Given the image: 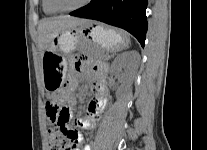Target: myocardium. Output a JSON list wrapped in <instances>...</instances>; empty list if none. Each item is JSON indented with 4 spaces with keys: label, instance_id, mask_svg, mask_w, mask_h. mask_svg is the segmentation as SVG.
<instances>
[{
    "label": "myocardium",
    "instance_id": "1",
    "mask_svg": "<svg viewBox=\"0 0 207 150\" xmlns=\"http://www.w3.org/2000/svg\"><path fill=\"white\" fill-rule=\"evenodd\" d=\"M52 7L57 10L58 12H73V11H76V10H79L83 7H85L86 5H88L90 3L91 0H83L79 5L77 6H74V7H70V8H65V7H62L58 0H49Z\"/></svg>",
    "mask_w": 207,
    "mask_h": 150
}]
</instances>
